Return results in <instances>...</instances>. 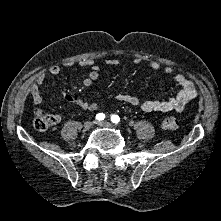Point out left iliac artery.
<instances>
[{
    "label": "left iliac artery",
    "instance_id": "obj_1",
    "mask_svg": "<svg viewBox=\"0 0 221 221\" xmlns=\"http://www.w3.org/2000/svg\"><path fill=\"white\" fill-rule=\"evenodd\" d=\"M111 121H112L113 123L117 124V123L120 121V118H119L118 115L113 114V115L111 116Z\"/></svg>",
    "mask_w": 221,
    "mask_h": 221
}]
</instances>
